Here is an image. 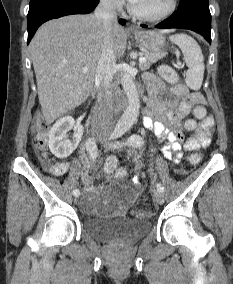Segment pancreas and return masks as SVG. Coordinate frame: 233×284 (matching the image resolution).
I'll return each instance as SVG.
<instances>
[{
    "label": "pancreas",
    "instance_id": "1",
    "mask_svg": "<svg viewBox=\"0 0 233 284\" xmlns=\"http://www.w3.org/2000/svg\"><path fill=\"white\" fill-rule=\"evenodd\" d=\"M166 52H145L144 57L146 59L145 62L140 63L139 67L142 71H145L150 68L153 63H156L158 60L162 59L166 56Z\"/></svg>",
    "mask_w": 233,
    "mask_h": 284
}]
</instances>
